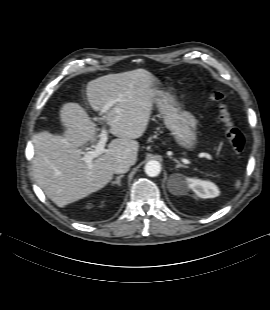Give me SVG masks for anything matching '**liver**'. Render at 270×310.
<instances>
[{
    "label": "liver",
    "instance_id": "6515ba94",
    "mask_svg": "<svg viewBox=\"0 0 270 310\" xmlns=\"http://www.w3.org/2000/svg\"><path fill=\"white\" fill-rule=\"evenodd\" d=\"M155 85L159 80L144 69L108 74L88 82L86 95L94 111L110 105L104 119L117 139L103 155L84 161L79 147L96 138V125L78 103H65L60 109L64 135L46 131L33 136V172L37 184L58 207L82 199L107 185L113 178V165L137 161L139 143L149 124Z\"/></svg>",
    "mask_w": 270,
    "mask_h": 310
}]
</instances>
